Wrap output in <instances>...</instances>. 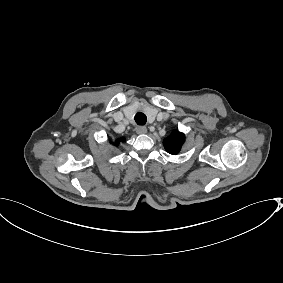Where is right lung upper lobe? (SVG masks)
Here are the masks:
<instances>
[{
	"instance_id": "cb5924a9",
	"label": "right lung upper lobe",
	"mask_w": 283,
	"mask_h": 283,
	"mask_svg": "<svg viewBox=\"0 0 283 283\" xmlns=\"http://www.w3.org/2000/svg\"><path fill=\"white\" fill-rule=\"evenodd\" d=\"M124 140H125L124 138H120L115 142V144L118 145L121 141H124Z\"/></svg>"
}]
</instances>
